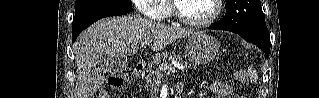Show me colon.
I'll return each instance as SVG.
<instances>
[{"label": "colon", "instance_id": "obj_1", "mask_svg": "<svg viewBox=\"0 0 319 98\" xmlns=\"http://www.w3.org/2000/svg\"><path fill=\"white\" fill-rule=\"evenodd\" d=\"M236 77L238 79H242L244 77V73L238 72L236 73ZM108 85L114 91H124L128 85V77L124 74L112 75L108 78ZM107 95H102L99 98H107ZM121 98H129L130 95L126 92H122L120 95Z\"/></svg>", "mask_w": 319, "mask_h": 98}]
</instances>
